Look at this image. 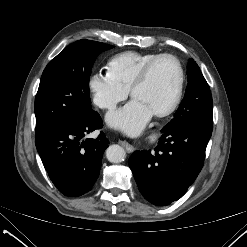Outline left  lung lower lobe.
<instances>
[{
	"label": "left lung lower lobe",
	"instance_id": "left-lung-lower-lobe-1",
	"mask_svg": "<svg viewBox=\"0 0 247 247\" xmlns=\"http://www.w3.org/2000/svg\"><path fill=\"white\" fill-rule=\"evenodd\" d=\"M162 133L155 153L137 150L129 159L141 194L158 206L178 200L194 182L204 164L212 126L188 120Z\"/></svg>",
	"mask_w": 247,
	"mask_h": 247
}]
</instances>
